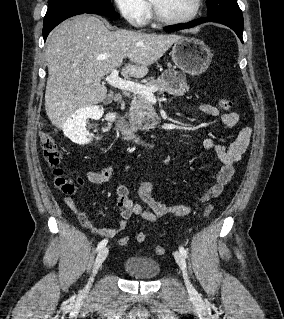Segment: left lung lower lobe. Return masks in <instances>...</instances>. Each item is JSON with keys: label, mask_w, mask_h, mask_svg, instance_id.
I'll use <instances>...</instances> for the list:
<instances>
[{"label": "left lung lower lobe", "mask_w": 284, "mask_h": 319, "mask_svg": "<svg viewBox=\"0 0 284 319\" xmlns=\"http://www.w3.org/2000/svg\"><path fill=\"white\" fill-rule=\"evenodd\" d=\"M205 22H217L221 23L225 26L231 28L239 37L241 42L243 43L242 33H243V17L233 16V15H215V16H207L204 18H200L195 20L194 22L188 24H182L177 26H171L165 28L166 31L173 32L186 28H191L196 25L205 23Z\"/></svg>", "instance_id": "obj_1"}]
</instances>
